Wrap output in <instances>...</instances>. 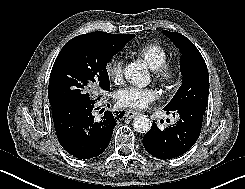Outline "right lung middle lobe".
<instances>
[{
    "label": "right lung middle lobe",
    "mask_w": 245,
    "mask_h": 189,
    "mask_svg": "<svg viewBox=\"0 0 245 189\" xmlns=\"http://www.w3.org/2000/svg\"><path fill=\"white\" fill-rule=\"evenodd\" d=\"M122 48L85 35L66 43L50 74L48 97L51 107L90 100L93 87L109 91L106 65Z\"/></svg>",
    "instance_id": "right-lung-middle-lobe-1"
}]
</instances>
